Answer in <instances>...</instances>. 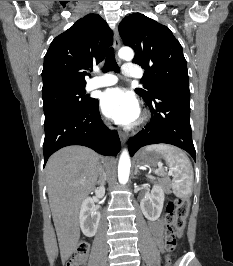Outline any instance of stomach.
<instances>
[{"mask_svg":"<svg viewBox=\"0 0 233 266\" xmlns=\"http://www.w3.org/2000/svg\"><path fill=\"white\" fill-rule=\"evenodd\" d=\"M163 158V155L158 152L142 150L136 155L135 160L137 165L156 167L161 164Z\"/></svg>","mask_w":233,"mask_h":266,"instance_id":"0dacf381","label":"stomach"}]
</instances>
